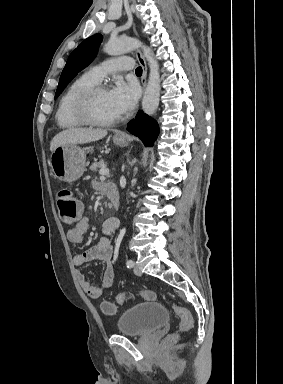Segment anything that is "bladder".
Instances as JSON below:
<instances>
[{"mask_svg": "<svg viewBox=\"0 0 283 384\" xmlns=\"http://www.w3.org/2000/svg\"><path fill=\"white\" fill-rule=\"evenodd\" d=\"M168 320L169 313L161 302H140L121 311L116 329L120 335L139 337L151 334Z\"/></svg>", "mask_w": 283, "mask_h": 384, "instance_id": "bladder-1", "label": "bladder"}]
</instances>
